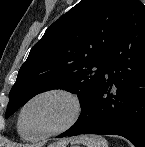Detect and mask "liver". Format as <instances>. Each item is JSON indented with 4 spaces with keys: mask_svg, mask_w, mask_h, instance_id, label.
Here are the masks:
<instances>
[{
    "mask_svg": "<svg viewBox=\"0 0 145 147\" xmlns=\"http://www.w3.org/2000/svg\"><path fill=\"white\" fill-rule=\"evenodd\" d=\"M68 141L69 140H63V141H60L58 143H55L53 145H51L50 147H65L67 144H68ZM71 142H77V138L76 139H71L70 140Z\"/></svg>",
    "mask_w": 145,
    "mask_h": 147,
    "instance_id": "1",
    "label": "liver"
}]
</instances>
